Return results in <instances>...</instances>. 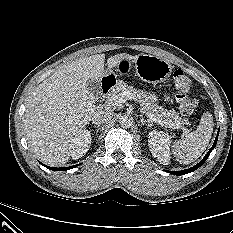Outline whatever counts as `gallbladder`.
I'll use <instances>...</instances> for the list:
<instances>
[{
    "label": "gallbladder",
    "instance_id": "bac80fb5",
    "mask_svg": "<svg viewBox=\"0 0 233 233\" xmlns=\"http://www.w3.org/2000/svg\"><path fill=\"white\" fill-rule=\"evenodd\" d=\"M87 87L94 96H97L101 93L100 83L94 79H89L87 81Z\"/></svg>",
    "mask_w": 233,
    "mask_h": 233
}]
</instances>
